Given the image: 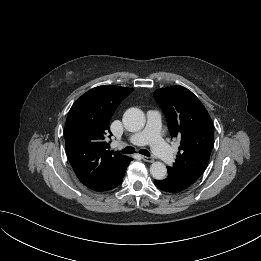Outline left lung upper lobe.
Wrapping results in <instances>:
<instances>
[{
	"label": "left lung upper lobe",
	"mask_w": 261,
	"mask_h": 261,
	"mask_svg": "<svg viewBox=\"0 0 261 261\" xmlns=\"http://www.w3.org/2000/svg\"><path fill=\"white\" fill-rule=\"evenodd\" d=\"M154 98L162 108L172 137L180 142L176 162L168 170L194 183L207 167L214 144V126L200 100L182 86L158 89Z\"/></svg>",
	"instance_id": "5c2ea615"
}]
</instances>
